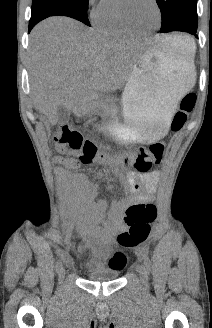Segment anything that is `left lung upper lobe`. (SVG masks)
<instances>
[{
  "mask_svg": "<svg viewBox=\"0 0 212 328\" xmlns=\"http://www.w3.org/2000/svg\"><path fill=\"white\" fill-rule=\"evenodd\" d=\"M161 10L160 32L197 30V0H156Z\"/></svg>",
  "mask_w": 212,
  "mask_h": 328,
  "instance_id": "5c2ea615",
  "label": "left lung upper lobe"
}]
</instances>
